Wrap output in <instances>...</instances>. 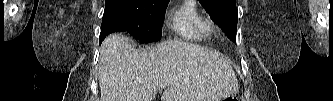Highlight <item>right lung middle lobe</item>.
<instances>
[{
  "instance_id": "right-lung-middle-lobe-1",
  "label": "right lung middle lobe",
  "mask_w": 333,
  "mask_h": 101,
  "mask_svg": "<svg viewBox=\"0 0 333 101\" xmlns=\"http://www.w3.org/2000/svg\"><path fill=\"white\" fill-rule=\"evenodd\" d=\"M105 14L114 17L119 27L113 32H128L143 43L159 41L164 11L169 0H106Z\"/></svg>"
}]
</instances>
